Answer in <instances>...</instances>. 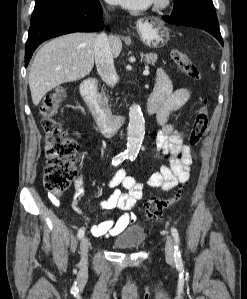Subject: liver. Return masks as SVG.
Returning a JSON list of instances; mask_svg holds the SVG:
<instances>
[{"instance_id": "1", "label": "liver", "mask_w": 247, "mask_h": 299, "mask_svg": "<svg viewBox=\"0 0 247 299\" xmlns=\"http://www.w3.org/2000/svg\"><path fill=\"white\" fill-rule=\"evenodd\" d=\"M96 34L71 33L50 40L36 54L29 73L34 105L55 87L87 76L94 67ZM111 52L117 58L122 50L119 37H109Z\"/></svg>"}]
</instances>
